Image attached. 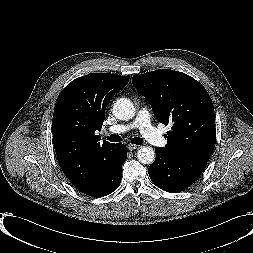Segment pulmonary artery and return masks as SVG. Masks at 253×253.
<instances>
[{
  "label": "pulmonary artery",
  "mask_w": 253,
  "mask_h": 253,
  "mask_svg": "<svg viewBox=\"0 0 253 253\" xmlns=\"http://www.w3.org/2000/svg\"><path fill=\"white\" fill-rule=\"evenodd\" d=\"M132 128H139L145 140L155 146L163 147L167 143L163 133L150 123V114L145 108H141L137 112L135 119L131 123L113 125L109 127L107 133L123 134Z\"/></svg>",
  "instance_id": "e3ab8cb5"
}]
</instances>
